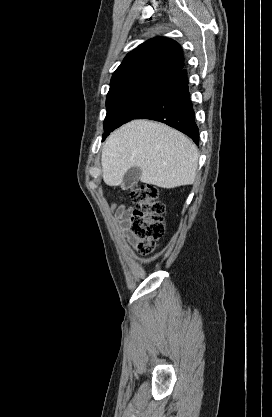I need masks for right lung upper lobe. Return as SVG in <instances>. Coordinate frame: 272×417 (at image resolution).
I'll return each instance as SVG.
<instances>
[{
  "mask_svg": "<svg viewBox=\"0 0 272 417\" xmlns=\"http://www.w3.org/2000/svg\"><path fill=\"white\" fill-rule=\"evenodd\" d=\"M184 67L182 48L172 39L156 37L139 45L114 72L108 97L133 88H162Z\"/></svg>",
  "mask_w": 272,
  "mask_h": 417,
  "instance_id": "obj_1",
  "label": "right lung upper lobe"
}]
</instances>
